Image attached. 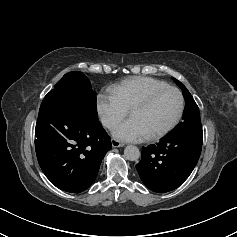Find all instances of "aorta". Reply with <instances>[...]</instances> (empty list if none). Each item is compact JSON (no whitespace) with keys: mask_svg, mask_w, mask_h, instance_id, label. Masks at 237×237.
<instances>
[{"mask_svg":"<svg viewBox=\"0 0 237 237\" xmlns=\"http://www.w3.org/2000/svg\"><path fill=\"white\" fill-rule=\"evenodd\" d=\"M124 156L129 161H136L140 157V151L137 146L128 145L124 149Z\"/></svg>","mask_w":237,"mask_h":237,"instance_id":"1","label":"aorta"}]
</instances>
